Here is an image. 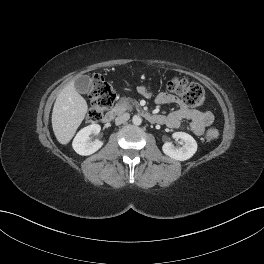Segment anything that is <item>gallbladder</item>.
<instances>
[{
  "instance_id": "bac80fb5",
  "label": "gallbladder",
  "mask_w": 264,
  "mask_h": 264,
  "mask_svg": "<svg viewBox=\"0 0 264 264\" xmlns=\"http://www.w3.org/2000/svg\"><path fill=\"white\" fill-rule=\"evenodd\" d=\"M92 85L91 78L87 75L81 76L75 81V88L78 92L86 94L89 92Z\"/></svg>"
}]
</instances>
